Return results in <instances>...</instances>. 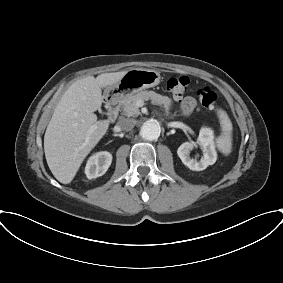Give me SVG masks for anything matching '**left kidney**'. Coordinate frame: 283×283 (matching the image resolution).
Segmentation results:
<instances>
[{
  "label": "left kidney",
  "instance_id": "left-kidney-1",
  "mask_svg": "<svg viewBox=\"0 0 283 283\" xmlns=\"http://www.w3.org/2000/svg\"><path fill=\"white\" fill-rule=\"evenodd\" d=\"M213 131L210 128H201L197 142H185L177 150V154L183 164L193 171H202L216 162L217 152L214 145ZM197 144L203 150L200 161L190 158V151Z\"/></svg>",
  "mask_w": 283,
  "mask_h": 283
}]
</instances>
